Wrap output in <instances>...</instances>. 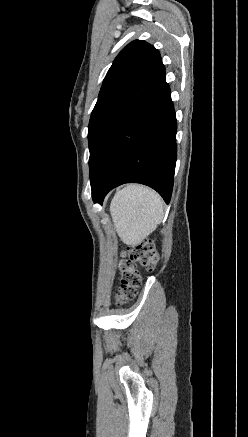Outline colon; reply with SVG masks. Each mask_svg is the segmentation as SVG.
<instances>
[{
    "instance_id": "colon-1",
    "label": "colon",
    "mask_w": 248,
    "mask_h": 437,
    "mask_svg": "<svg viewBox=\"0 0 248 437\" xmlns=\"http://www.w3.org/2000/svg\"><path fill=\"white\" fill-rule=\"evenodd\" d=\"M158 259V253L149 240L138 241L127 248L120 262V287L115 297L117 304H123L136 295V290L141 282L137 265L152 270Z\"/></svg>"
}]
</instances>
